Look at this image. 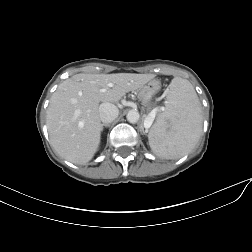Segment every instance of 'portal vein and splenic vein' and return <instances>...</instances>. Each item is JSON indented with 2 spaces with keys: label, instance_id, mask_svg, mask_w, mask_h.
<instances>
[{
  "label": "portal vein and splenic vein",
  "instance_id": "1",
  "mask_svg": "<svg viewBox=\"0 0 252 252\" xmlns=\"http://www.w3.org/2000/svg\"><path fill=\"white\" fill-rule=\"evenodd\" d=\"M112 85L111 84H108V86L104 89H101V92H105L109 87H111ZM156 116V110H152L145 118V121H144V126L145 127H150L154 118Z\"/></svg>",
  "mask_w": 252,
  "mask_h": 252
}]
</instances>
